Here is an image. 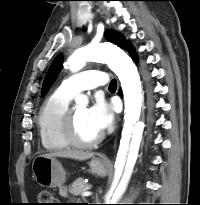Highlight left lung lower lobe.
Masks as SVG:
<instances>
[{"label":"left lung lower lobe","mask_w":200,"mask_h":205,"mask_svg":"<svg viewBox=\"0 0 200 205\" xmlns=\"http://www.w3.org/2000/svg\"><path fill=\"white\" fill-rule=\"evenodd\" d=\"M124 49L127 50L134 57V50L129 43L125 45Z\"/></svg>","instance_id":"0a47b994"}]
</instances>
